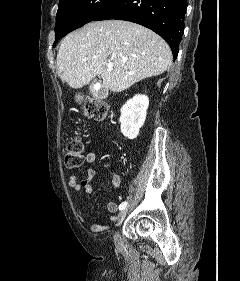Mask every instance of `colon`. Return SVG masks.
Listing matches in <instances>:
<instances>
[{
    "mask_svg": "<svg viewBox=\"0 0 240 281\" xmlns=\"http://www.w3.org/2000/svg\"><path fill=\"white\" fill-rule=\"evenodd\" d=\"M83 115L94 120H102L107 116L108 104L103 100L92 99L82 106ZM86 161L85 147L80 138L72 139L67 147L64 162L68 168H79Z\"/></svg>",
    "mask_w": 240,
    "mask_h": 281,
    "instance_id": "1",
    "label": "colon"
}]
</instances>
